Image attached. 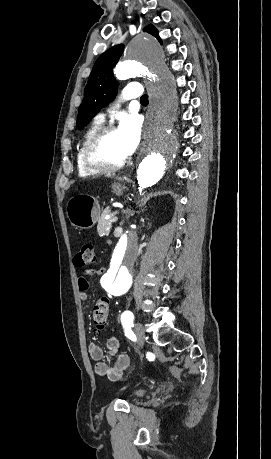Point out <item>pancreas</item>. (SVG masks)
I'll use <instances>...</instances> for the list:
<instances>
[{"instance_id":"obj_1","label":"pancreas","mask_w":271,"mask_h":459,"mask_svg":"<svg viewBox=\"0 0 271 459\" xmlns=\"http://www.w3.org/2000/svg\"><path fill=\"white\" fill-rule=\"evenodd\" d=\"M114 214H117V212H113V214H112L111 218H109V220H105L106 214H104V216H101V218H100V220L98 222V226H97V231H98V233H100V235H107V233H109L110 228H112L111 220L113 219Z\"/></svg>"}]
</instances>
